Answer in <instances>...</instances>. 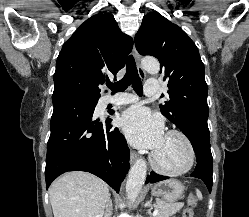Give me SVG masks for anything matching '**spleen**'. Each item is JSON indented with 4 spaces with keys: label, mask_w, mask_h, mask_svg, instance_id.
I'll return each mask as SVG.
<instances>
[{
    "label": "spleen",
    "mask_w": 249,
    "mask_h": 217,
    "mask_svg": "<svg viewBox=\"0 0 249 217\" xmlns=\"http://www.w3.org/2000/svg\"><path fill=\"white\" fill-rule=\"evenodd\" d=\"M196 194H197V197H198V199H202V194H201V192L199 191V190H196Z\"/></svg>",
    "instance_id": "1"
}]
</instances>
